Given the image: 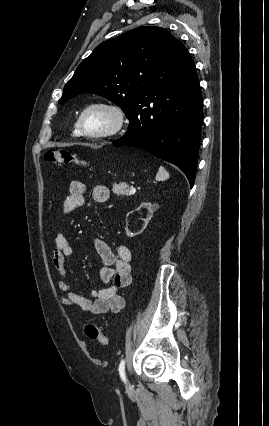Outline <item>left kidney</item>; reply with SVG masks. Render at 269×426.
Wrapping results in <instances>:
<instances>
[{"label": "left kidney", "mask_w": 269, "mask_h": 426, "mask_svg": "<svg viewBox=\"0 0 269 426\" xmlns=\"http://www.w3.org/2000/svg\"><path fill=\"white\" fill-rule=\"evenodd\" d=\"M159 208V205L158 204H151L150 202H143V203H141V205L136 209V211H140L141 209H147V211H148V215H147V218L146 219H143V221H144V225H143V227L141 228V230H138V229H133V230H131V228H129V225L127 224V226H126V228H125V231H126V234H127V236H129V237H134V236H136V235H138V234H140V233H142L143 232V230L146 228V226H147V224H148V222H149V220H150V218H151V216H152V214L157 210ZM133 227L135 228V225H133Z\"/></svg>", "instance_id": "5707ae66"}]
</instances>
